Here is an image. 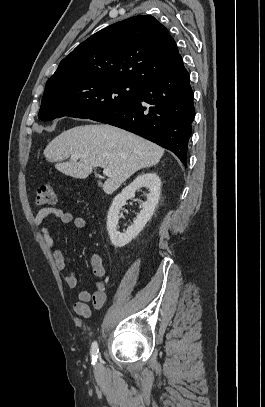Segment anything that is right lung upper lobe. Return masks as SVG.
Segmentation results:
<instances>
[{
	"label": "right lung upper lobe",
	"instance_id": "1",
	"mask_svg": "<svg viewBox=\"0 0 265 407\" xmlns=\"http://www.w3.org/2000/svg\"><path fill=\"white\" fill-rule=\"evenodd\" d=\"M180 56L165 26L152 16H135L79 44L48 82L104 78L143 85L172 70Z\"/></svg>",
	"mask_w": 265,
	"mask_h": 407
}]
</instances>
